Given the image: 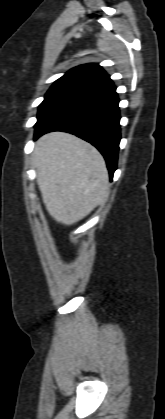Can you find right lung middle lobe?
Instances as JSON below:
<instances>
[{"label": "right lung middle lobe", "mask_w": 165, "mask_h": 419, "mask_svg": "<svg viewBox=\"0 0 165 419\" xmlns=\"http://www.w3.org/2000/svg\"><path fill=\"white\" fill-rule=\"evenodd\" d=\"M80 97H82V95L77 92L58 88H50L45 95L44 101L39 106L35 128L42 124L50 114L63 108L64 106L77 100Z\"/></svg>", "instance_id": "right-lung-middle-lobe-1"}]
</instances>
